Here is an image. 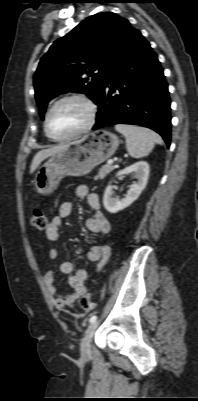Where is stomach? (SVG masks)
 Here are the masks:
<instances>
[{
    "label": "stomach",
    "mask_w": 198,
    "mask_h": 401,
    "mask_svg": "<svg viewBox=\"0 0 198 401\" xmlns=\"http://www.w3.org/2000/svg\"><path fill=\"white\" fill-rule=\"evenodd\" d=\"M119 138L107 130H98L66 144L38 170L35 188L40 195L53 192L66 176H83L109 159L119 146Z\"/></svg>",
    "instance_id": "obj_1"
}]
</instances>
